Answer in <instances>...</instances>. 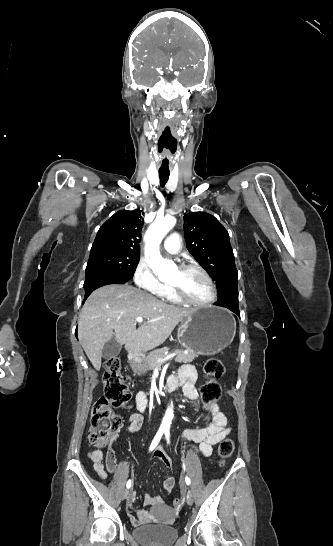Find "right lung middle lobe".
Wrapping results in <instances>:
<instances>
[{
	"label": "right lung middle lobe",
	"instance_id": "obj_1",
	"mask_svg": "<svg viewBox=\"0 0 333 546\" xmlns=\"http://www.w3.org/2000/svg\"><path fill=\"white\" fill-rule=\"evenodd\" d=\"M138 253L116 249L91 251L86 273L105 271L132 279L139 262Z\"/></svg>",
	"mask_w": 333,
	"mask_h": 546
}]
</instances>
